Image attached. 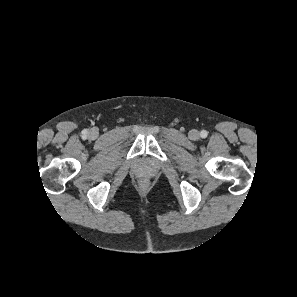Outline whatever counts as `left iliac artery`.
<instances>
[{"instance_id":"obj_1","label":"left iliac artery","mask_w":297,"mask_h":297,"mask_svg":"<svg viewBox=\"0 0 297 297\" xmlns=\"http://www.w3.org/2000/svg\"><path fill=\"white\" fill-rule=\"evenodd\" d=\"M200 136H201L202 138H206V137L208 136V132H207L206 130H202V131L200 132Z\"/></svg>"}]
</instances>
